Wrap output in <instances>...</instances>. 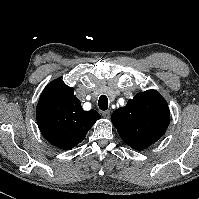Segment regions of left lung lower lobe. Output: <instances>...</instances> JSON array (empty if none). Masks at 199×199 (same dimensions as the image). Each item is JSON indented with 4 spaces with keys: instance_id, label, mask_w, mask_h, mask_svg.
Listing matches in <instances>:
<instances>
[{
    "instance_id": "1",
    "label": "left lung lower lobe",
    "mask_w": 199,
    "mask_h": 199,
    "mask_svg": "<svg viewBox=\"0 0 199 199\" xmlns=\"http://www.w3.org/2000/svg\"><path fill=\"white\" fill-rule=\"evenodd\" d=\"M122 139L126 144H128L130 147L136 150H142L150 146L149 144L137 140H132L128 138H122Z\"/></svg>"
}]
</instances>
